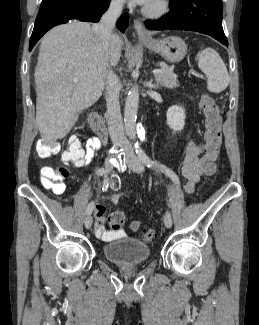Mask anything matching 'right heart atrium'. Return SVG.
<instances>
[{
	"label": "right heart atrium",
	"instance_id": "d8ad5b80",
	"mask_svg": "<svg viewBox=\"0 0 259 325\" xmlns=\"http://www.w3.org/2000/svg\"><path fill=\"white\" fill-rule=\"evenodd\" d=\"M123 0H111V5L115 8H118L122 5Z\"/></svg>",
	"mask_w": 259,
	"mask_h": 325
}]
</instances>
